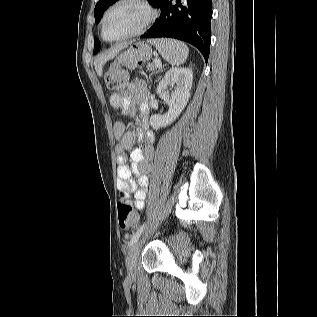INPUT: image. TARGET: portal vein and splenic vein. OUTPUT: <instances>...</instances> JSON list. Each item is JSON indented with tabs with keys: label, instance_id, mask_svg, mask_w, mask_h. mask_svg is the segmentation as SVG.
I'll return each instance as SVG.
<instances>
[{
	"label": "portal vein and splenic vein",
	"instance_id": "18ae733b",
	"mask_svg": "<svg viewBox=\"0 0 317 317\" xmlns=\"http://www.w3.org/2000/svg\"><path fill=\"white\" fill-rule=\"evenodd\" d=\"M154 62H155V64H156L157 67H161V60H160V59H157V58H156V59L154 60Z\"/></svg>",
	"mask_w": 317,
	"mask_h": 317
}]
</instances>
